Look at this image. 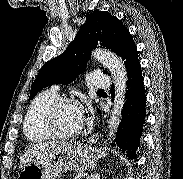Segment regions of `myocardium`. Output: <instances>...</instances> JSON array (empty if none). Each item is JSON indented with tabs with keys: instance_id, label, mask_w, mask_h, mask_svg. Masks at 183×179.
Segmentation results:
<instances>
[{
	"instance_id": "1",
	"label": "myocardium",
	"mask_w": 183,
	"mask_h": 179,
	"mask_svg": "<svg viewBox=\"0 0 183 179\" xmlns=\"http://www.w3.org/2000/svg\"><path fill=\"white\" fill-rule=\"evenodd\" d=\"M67 104L76 105L84 111V108L81 102L76 98L58 97L55 100H53L50 103V105L47 107L43 115V126L47 131V133L53 138L70 139L79 135L84 129V123L76 131H73L70 133H62L56 129L54 124L56 113L63 105H67Z\"/></svg>"
}]
</instances>
